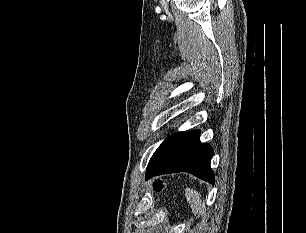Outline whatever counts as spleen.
I'll return each instance as SVG.
<instances>
[{
  "label": "spleen",
  "instance_id": "obj_1",
  "mask_svg": "<svg viewBox=\"0 0 306 233\" xmlns=\"http://www.w3.org/2000/svg\"><path fill=\"white\" fill-rule=\"evenodd\" d=\"M185 196H186L187 202L191 206L192 212L195 215L198 214L203 205L200 193L197 192L196 190L186 188Z\"/></svg>",
  "mask_w": 306,
  "mask_h": 233
}]
</instances>
